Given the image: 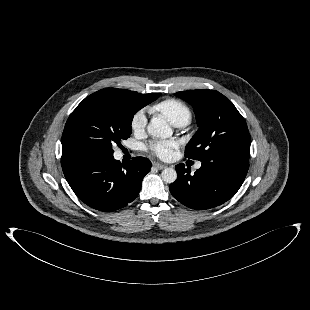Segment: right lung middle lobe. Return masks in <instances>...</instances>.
<instances>
[{
	"mask_svg": "<svg viewBox=\"0 0 310 310\" xmlns=\"http://www.w3.org/2000/svg\"><path fill=\"white\" fill-rule=\"evenodd\" d=\"M160 93L139 104L108 93H93L85 98L69 116L62 135V153L80 151L114 152L112 144H120L132 131L134 114L156 100Z\"/></svg>",
	"mask_w": 310,
	"mask_h": 310,
	"instance_id": "right-lung-middle-lobe-1",
	"label": "right lung middle lobe"
}]
</instances>
